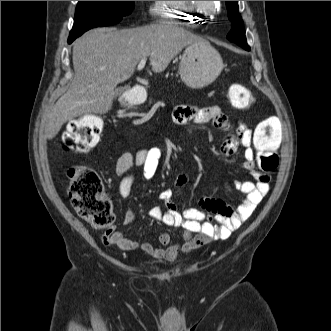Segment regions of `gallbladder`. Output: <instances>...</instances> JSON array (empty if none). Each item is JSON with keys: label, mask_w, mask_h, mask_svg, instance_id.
Returning <instances> with one entry per match:
<instances>
[{"label": "gallbladder", "mask_w": 331, "mask_h": 331, "mask_svg": "<svg viewBox=\"0 0 331 331\" xmlns=\"http://www.w3.org/2000/svg\"><path fill=\"white\" fill-rule=\"evenodd\" d=\"M124 92V88H117L115 90V96H121Z\"/></svg>", "instance_id": "bac80fb5"}]
</instances>
